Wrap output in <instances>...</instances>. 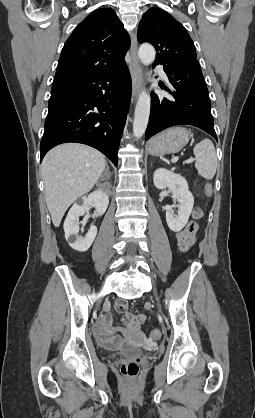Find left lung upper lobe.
<instances>
[{
	"label": "left lung upper lobe",
	"instance_id": "1",
	"mask_svg": "<svg viewBox=\"0 0 255 418\" xmlns=\"http://www.w3.org/2000/svg\"><path fill=\"white\" fill-rule=\"evenodd\" d=\"M137 39L155 47L154 63L175 65L197 61L195 46L187 30L169 13L157 7L150 8L143 15Z\"/></svg>",
	"mask_w": 255,
	"mask_h": 418
}]
</instances>
